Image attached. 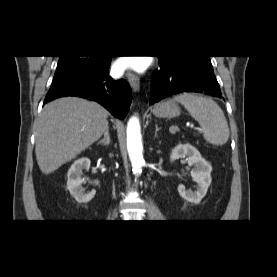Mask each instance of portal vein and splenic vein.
Wrapping results in <instances>:
<instances>
[{
  "instance_id": "portal-vein-and-splenic-vein-1",
  "label": "portal vein and splenic vein",
  "mask_w": 277,
  "mask_h": 277,
  "mask_svg": "<svg viewBox=\"0 0 277 277\" xmlns=\"http://www.w3.org/2000/svg\"><path fill=\"white\" fill-rule=\"evenodd\" d=\"M191 127H192V125H191ZM176 130H177V127L172 126V127L170 128V132H171V133H175Z\"/></svg>"
}]
</instances>
